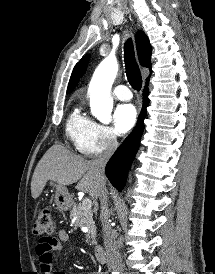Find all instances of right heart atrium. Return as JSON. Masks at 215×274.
<instances>
[{
  "mask_svg": "<svg viewBox=\"0 0 215 274\" xmlns=\"http://www.w3.org/2000/svg\"><path fill=\"white\" fill-rule=\"evenodd\" d=\"M118 146L117 135L113 128L93 123L87 138L79 147V151L86 156L99 155L105 152H111Z\"/></svg>",
  "mask_w": 215,
  "mask_h": 274,
  "instance_id": "d8ad5b80",
  "label": "right heart atrium"
}]
</instances>
